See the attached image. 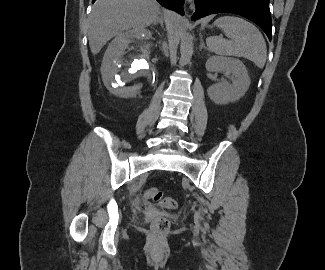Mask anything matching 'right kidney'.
<instances>
[{"mask_svg": "<svg viewBox=\"0 0 325 270\" xmlns=\"http://www.w3.org/2000/svg\"><path fill=\"white\" fill-rule=\"evenodd\" d=\"M151 36L149 30L133 29L117 36L109 44L101 65V75L110 93L122 98L135 97L152 78L156 69L150 62ZM123 64L125 69L121 68ZM130 82L134 84L125 86Z\"/></svg>", "mask_w": 325, "mask_h": 270, "instance_id": "1", "label": "right kidney"}]
</instances>
